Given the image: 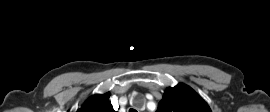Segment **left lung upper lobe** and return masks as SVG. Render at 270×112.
Returning <instances> with one entry per match:
<instances>
[{
  "label": "left lung upper lobe",
  "mask_w": 270,
  "mask_h": 112,
  "mask_svg": "<svg viewBox=\"0 0 270 112\" xmlns=\"http://www.w3.org/2000/svg\"><path fill=\"white\" fill-rule=\"evenodd\" d=\"M156 112H212L207 103L189 86L180 83L167 88Z\"/></svg>",
  "instance_id": "left-lung-upper-lobe-1"
}]
</instances>
